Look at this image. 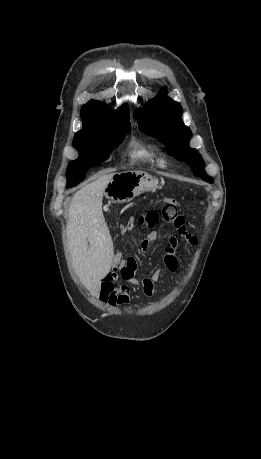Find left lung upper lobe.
<instances>
[{
	"label": "left lung upper lobe",
	"mask_w": 261,
	"mask_h": 459,
	"mask_svg": "<svg viewBox=\"0 0 261 459\" xmlns=\"http://www.w3.org/2000/svg\"><path fill=\"white\" fill-rule=\"evenodd\" d=\"M165 94L166 90L163 88L158 96L146 103L145 108L134 112L139 129L148 135L158 137L167 145L172 155L190 165L195 176L212 183V177L204 170L205 164L201 155L189 147L191 131L182 122L181 105Z\"/></svg>",
	"instance_id": "1"
}]
</instances>
